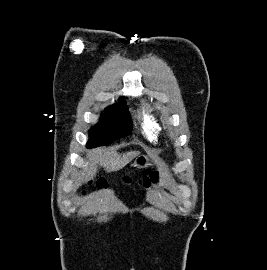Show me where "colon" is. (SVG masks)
I'll return each instance as SVG.
<instances>
[{
  "label": "colon",
  "mask_w": 267,
  "mask_h": 270,
  "mask_svg": "<svg viewBox=\"0 0 267 270\" xmlns=\"http://www.w3.org/2000/svg\"><path fill=\"white\" fill-rule=\"evenodd\" d=\"M159 180V177H158V174H152L150 177H145L141 183L144 185V186H149L151 185L152 183H156L158 182ZM95 185L98 187V188H103L106 186V182L104 180H97L95 182Z\"/></svg>",
  "instance_id": "obj_1"
}]
</instances>
